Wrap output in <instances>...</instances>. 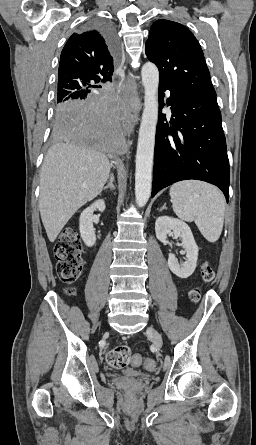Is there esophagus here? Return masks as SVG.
Returning <instances> with one entry per match:
<instances>
[{"mask_svg":"<svg viewBox=\"0 0 256 445\" xmlns=\"http://www.w3.org/2000/svg\"><path fill=\"white\" fill-rule=\"evenodd\" d=\"M126 92H127V119L125 123V130L130 136L136 123L139 120V112L141 110V101L138 95V84L132 73H130L126 80Z\"/></svg>","mask_w":256,"mask_h":445,"instance_id":"1","label":"esophagus"}]
</instances>
